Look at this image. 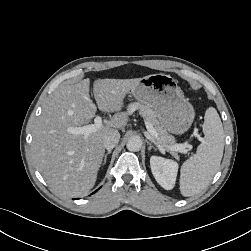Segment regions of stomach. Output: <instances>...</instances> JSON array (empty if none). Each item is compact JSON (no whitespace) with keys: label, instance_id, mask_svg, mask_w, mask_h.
I'll use <instances>...</instances> for the list:
<instances>
[{"label":"stomach","instance_id":"1","mask_svg":"<svg viewBox=\"0 0 251 251\" xmlns=\"http://www.w3.org/2000/svg\"><path fill=\"white\" fill-rule=\"evenodd\" d=\"M131 94L141 104L154 109L161 126L176 135L192 125L195 111L170 75L152 74L140 79Z\"/></svg>","mask_w":251,"mask_h":251}]
</instances>
